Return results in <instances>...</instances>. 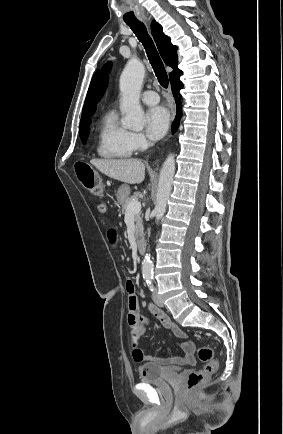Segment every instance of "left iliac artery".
Listing matches in <instances>:
<instances>
[{
	"label": "left iliac artery",
	"instance_id": "left-iliac-artery-1",
	"mask_svg": "<svg viewBox=\"0 0 283 434\" xmlns=\"http://www.w3.org/2000/svg\"><path fill=\"white\" fill-rule=\"evenodd\" d=\"M152 278H147L146 283L151 291H153Z\"/></svg>",
	"mask_w": 283,
	"mask_h": 434
}]
</instances>
